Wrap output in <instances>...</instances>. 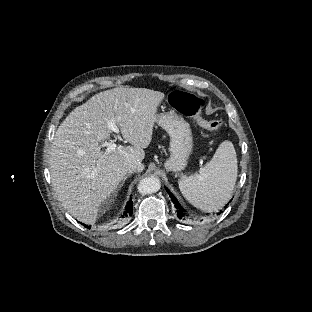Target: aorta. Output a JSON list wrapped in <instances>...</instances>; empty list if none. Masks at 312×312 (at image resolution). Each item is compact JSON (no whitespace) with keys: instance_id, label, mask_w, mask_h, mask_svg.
<instances>
[{"instance_id":"aorta-1","label":"aorta","mask_w":312,"mask_h":312,"mask_svg":"<svg viewBox=\"0 0 312 312\" xmlns=\"http://www.w3.org/2000/svg\"><path fill=\"white\" fill-rule=\"evenodd\" d=\"M160 187V180L153 176L142 179L137 186L138 192L142 195L156 193Z\"/></svg>"}]
</instances>
